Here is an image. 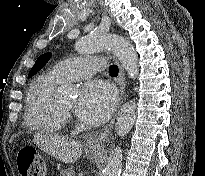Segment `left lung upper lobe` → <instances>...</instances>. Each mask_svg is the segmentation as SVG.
I'll return each mask as SVG.
<instances>
[{"mask_svg": "<svg viewBox=\"0 0 205 176\" xmlns=\"http://www.w3.org/2000/svg\"><path fill=\"white\" fill-rule=\"evenodd\" d=\"M51 54L50 53H46L44 55H41L35 62L34 66L32 67V69L29 72V76L36 73L38 70H40L45 64L46 62L50 59Z\"/></svg>", "mask_w": 205, "mask_h": 176, "instance_id": "5c2ea615", "label": "left lung upper lobe"}]
</instances>
